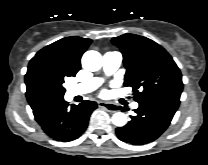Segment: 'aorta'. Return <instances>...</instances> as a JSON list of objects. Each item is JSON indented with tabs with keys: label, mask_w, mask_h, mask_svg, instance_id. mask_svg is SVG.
<instances>
[{
	"label": "aorta",
	"mask_w": 208,
	"mask_h": 165,
	"mask_svg": "<svg viewBox=\"0 0 208 165\" xmlns=\"http://www.w3.org/2000/svg\"><path fill=\"white\" fill-rule=\"evenodd\" d=\"M82 66L88 71H98L102 67V55L94 50L86 51L82 56ZM127 117L123 112H116L112 116V123L118 127L126 124Z\"/></svg>",
	"instance_id": "obj_1"
}]
</instances>
